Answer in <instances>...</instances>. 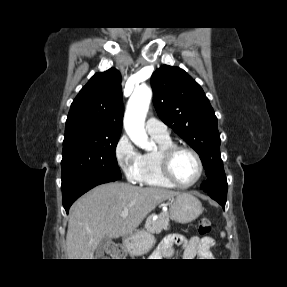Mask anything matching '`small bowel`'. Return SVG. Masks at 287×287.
<instances>
[{"mask_svg": "<svg viewBox=\"0 0 287 287\" xmlns=\"http://www.w3.org/2000/svg\"><path fill=\"white\" fill-rule=\"evenodd\" d=\"M215 245V240L211 237L199 238L197 236L187 240L183 235L171 234L163 239L154 252V257L171 258L175 256V246L184 248L183 256L186 259L211 257V248Z\"/></svg>", "mask_w": 287, "mask_h": 287, "instance_id": "1", "label": "small bowel"}]
</instances>
